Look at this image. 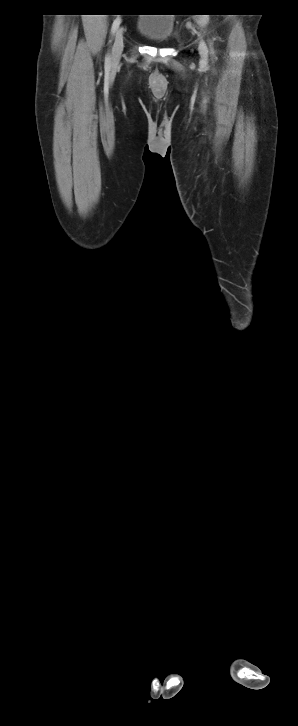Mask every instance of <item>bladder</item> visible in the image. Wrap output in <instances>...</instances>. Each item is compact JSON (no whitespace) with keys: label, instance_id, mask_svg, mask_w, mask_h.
Returning <instances> with one entry per match:
<instances>
[{"label":"bladder","instance_id":"1","mask_svg":"<svg viewBox=\"0 0 298 726\" xmlns=\"http://www.w3.org/2000/svg\"><path fill=\"white\" fill-rule=\"evenodd\" d=\"M174 18L168 14H148L138 20L137 31L155 44L167 43L174 31Z\"/></svg>","mask_w":298,"mask_h":726}]
</instances>
